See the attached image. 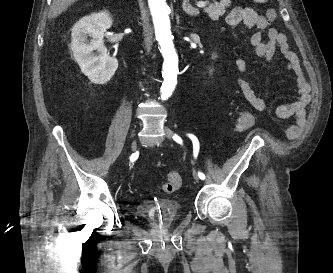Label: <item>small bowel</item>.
I'll use <instances>...</instances> for the list:
<instances>
[{
    "label": "small bowel",
    "mask_w": 333,
    "mask_h": 273,
    "mask_svg": "<svg viewBox=\"0 0 333 273\" xmlns=\"http://www.w3.org/2000/svg\"><path fill=\"white\" fill-rule=\"evenodd\" d=\"M226 23L234 28L246 26L258 30L253 33L249 39V43L255 49V53L258 57L270 61L276 49L285 57L288 63V69L294 72L296 76L299 99L294 103L279 106L276 113L282 118L295 116L297 122L292 126L291 133H296L299 126L302 124L304 108L306 106V99L304 97L305 77L296 54L289 48L285 35L275 28H270L268 19L257 13L251 7H233L226 15ZM264 32L267 34V39H264ZM234 63L239 73L247 72L248 65L244 59L237 58ZM235 82L244 98L256 111L264 112L268 109L267 100L257 96L247 81L236 74Z\"/></svg>",
    "instance_id": "1"
}]
</instances>
